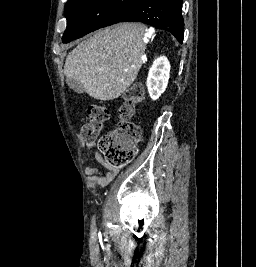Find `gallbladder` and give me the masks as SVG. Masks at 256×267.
<instances>
[{
    "mask_svg": "<svg viewBox=\"0 0 256 267\" xmlns=\"http://www.w3.org/2000/svg\"><path fill=\"white\" fill-rule=\"evenodd\" d=\"M67 86H69V88H71V90H75V92H77V94H84L85 92V88L83 86V84H80V82H77V80H69V78H67V80H65Z\"/></svg>",
    "mask_w": 256,
    "mask_h": 267,
    "instance_id": "obj_1",
    "label": "gallbladder"
}]
</instances>
